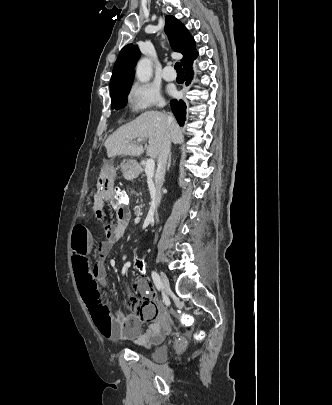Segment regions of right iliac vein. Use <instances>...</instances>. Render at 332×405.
Listing matches in <instances>:
<instances>
[{
    "mask_svg": "<svg viewBox=\"0 0 332 405\" xmlns=\"http://www.w3.org/2000/svg\"><path fill=\"white\" fill-rule=\"evenodd\" d=\"M160 279H161L162 287L164 288V290L166 292L169 291L170 283H169L167 276L163 272H160Z\"/></svg>",
    "mask_w": 332,
    "mask_h": 405,
    "instance_id": "1",
    "label": "right iliac vein"
}]
</instances>
